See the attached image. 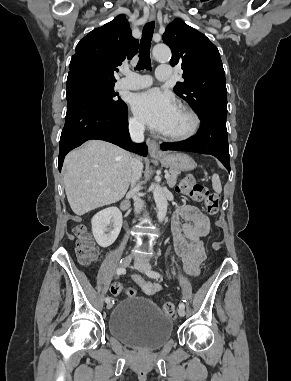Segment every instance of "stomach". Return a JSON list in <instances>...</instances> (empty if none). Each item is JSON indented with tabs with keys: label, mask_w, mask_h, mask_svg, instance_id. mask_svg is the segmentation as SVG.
<instances>
[{
	"label": "stomach",
	"mask_w": 291,
	"mask_h": 381,
	"mask_svg": "<svg viewBox=\"0 0 291 381\" xmlns=\"http://www.w3.org/2000/svg\"><path fill=\"white\" fill-rule=\"evenodd\" d=\"M155 158L171 170L189 171L196 165L195 161L185 153H165Z\"/></svg>",
	"instance_id": "0dacf381"
}]
</instances>
